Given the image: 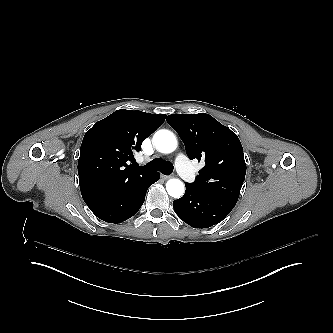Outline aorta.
Listing matches in <instances>:
<instances>
[{"instance_id":"aorta-1","label":"aorta","mask_w":333,"mask_h":333,"mask_svg":"<svg viewBox=\"0 0 333 333\" xmlns=\"http://www.w3.org/2000/svg\"><path fill=\"white\" fill-rule=\"evenodd\" d=\"M153 143L159 152L165 154L174 152L178 146L175 135L168 130L156 132L153 137ZM166 189L171 197L178 198L183 195L185 187L180 179L172 178L167 181Z\"/></svg>"}]
</instances>
